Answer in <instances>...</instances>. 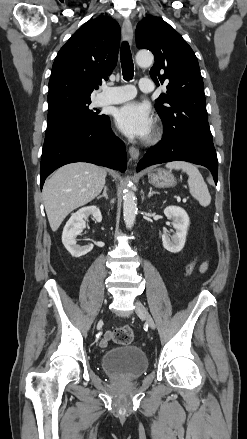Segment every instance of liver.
Masks as SVG:
<instances>
[{
    "label": "liver",
    "instance_id": "liver-1",
    "mask_svg": "<svg viewBox=\"0 0 247 439\" xmlns=\"http://www.w3.org/2000/svg\"><path fill=\"white\" fill-rule=\"evenodd\" d=\"M106 169L85 162L59 168L43 187V201L52 231L73 210L91 202L105 185Z\"/></svg>",
    "mask_w": 247,
    "mask_h": 439
}]
</instances>
